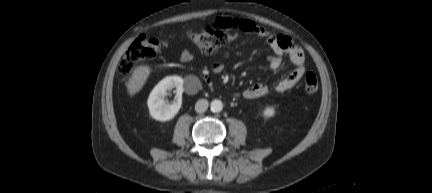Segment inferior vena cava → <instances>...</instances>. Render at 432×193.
Segmentation results:
<instances>
[{"label": "inferior vena cava", "instance_id": "1", "mask_svg": "<svg viewBox=\"0 0 432 193\" xmlns=\"http://www.w3.org/2000/svg\"><path fill=\"white\" fill-rule=\"evenodd\" d=\"M208 101L206 99H200L195 104V110L198 113H204L208 108Z\"/></svg>", "mask_w": 432, "mask_h": 193}]
</instances>
